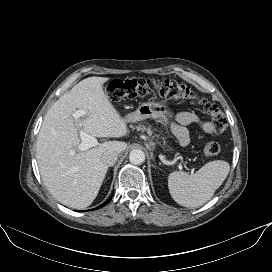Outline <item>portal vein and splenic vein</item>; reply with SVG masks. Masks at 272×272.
<instances>
[{
    "instance_id": "18ae733b",
    "label": "portal vein and splenic vein",
    "mask_w": 272,
    "mask_h": 272,
    "mask_svg": "<svg viewBox=\"0 0 272 272\" xmlns=\"http://www.w3.org/2000/svg\"><path fill=\"white\" fill-rule=\"evenodd\" d=\"M86 112L84 110H76L73 113V118L74 119H79L81 116L85 115ZM80 138H81V143L78 146V149L81 151H85L88 150L91 147H95L98 145V141L95 137L88 135L87 133L80 131ZM70 155H74L75 154V150H70L69 151ZM193 169H192V173H193Z\"/></svg>"
}]
</instances>
